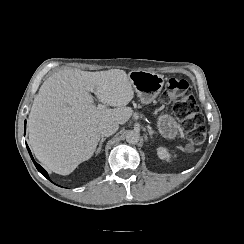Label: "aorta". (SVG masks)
I'll use <instances>...</instances> for the list:
<instances>
[{
    "instance_id": "obj_1",
    "label": "aorta",
    "mask_w": 244,
    "mask_h": 244,
    "mask_svg": "<svg viewBox=\"0 0 244 244\" xmlns=\"http://www.w3.org/2000/svg\"><path fill=\"white\" fill-rule=\"evenodd\" d=\"M140 139V134L136 131H128L126 134V141L129 144H137L139 142Z\"/></svg>"
}]
</instances>
